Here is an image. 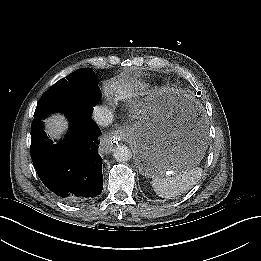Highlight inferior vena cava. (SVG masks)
I'll return each instance as SVG.
<instances>
[{
    "label": "inferior vena cava",
    "mask_w": 261,
    "mask_h": 261,
    "mask_svg": "<svg viewBox=\"0 0 261 261\" xmlns=\"http://www.w3.org/2000/svg\"><path fill=\"white\" fill-rule=\"evenodd\" d=\"M93 120L99 125L106 127L113 122V113L107 107L98 106L93 110Z\"/></svg>",
    "instance_id": "1"
}]
</instances>
